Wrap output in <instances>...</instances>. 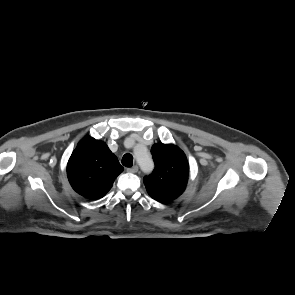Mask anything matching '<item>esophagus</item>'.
<instances>
[{
  "label": "esophagus",
  "mask_w": 295,
  "mask_h": 295,
  "mask_svg": "<svg viewBox=\"0 0 295 295\" xmlns=\"http://www.w3.org/2000/svg\"><path fill=\"white\" fill-rule=\"evenodd\" d=\"M137 171H138L137 166H133V167L127 169V172H129V173H136Z\"/></svg>",
  "instance_id": "34e87169"
}]
</instances>
